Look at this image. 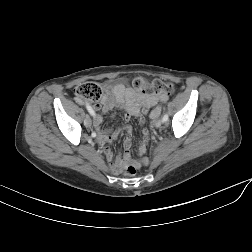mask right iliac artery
<instances>
[{
    "label": "right iliac artery",
    "instance_id": "82829eb1",
    "mask_svg": "<svg viewBox=\"0 0 252 252\" xmlns=\"http://www.w3.org/2000/svg\"><path fill=\"white\" fill-rule=\"evenodd\" d=\"M86 108H87L88 112L94 117L95 116V112H94V110L92 109V107L88 103H86ZM91 135H92L93 139L97 138V135H96L95 131H92Z\"/></svg>",
    "mask_w": 252,
    "mask_h": 252
}]
</instances>
